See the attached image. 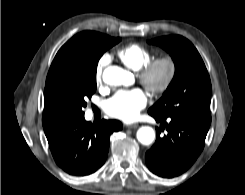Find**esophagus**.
Masks as SVG:
<instances>
[{"label": "esophagus", "instance_id": "esophagus-1", "mask_svg": "<svg viewBox=\"0 0 245 195\" xmlns=\"http://www.w3.org/2000/svg\"><path fill=\"white\" fill-rule=\"evenodd\" d=\"M127 128L129 129H133V128H137L138 127V124H129V125H126Z\"/></svg>", "mask_w": 245, "mask_h": 195}]
</instances>
